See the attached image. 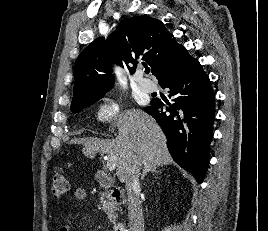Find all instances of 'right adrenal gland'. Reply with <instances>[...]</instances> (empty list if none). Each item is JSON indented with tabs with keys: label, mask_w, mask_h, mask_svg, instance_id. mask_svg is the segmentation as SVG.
<instances>
[{
	"label": "right adrenal gland",
	"mask_w": 268,
	"mask_h": 231,
	"mask_svg": "<svg viewBox=\"0 0 268 231\" xmlns=\"http://www.w3.org/2000/svg\"><path fill=\"white\" fill-rule=\"evenodd\" d=\"M159 166L157 165H152V164H145L143 168V172L141 174V180H144L145 176L151 172L155 174H161V171L157 170Z\"/></svg>",
	"instance_id": "1"
}]
</instances>
